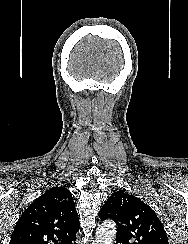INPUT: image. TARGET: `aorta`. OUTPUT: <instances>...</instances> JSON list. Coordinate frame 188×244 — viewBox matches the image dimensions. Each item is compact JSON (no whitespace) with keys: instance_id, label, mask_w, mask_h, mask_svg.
Instances as JSON below:
<instances>
[{"instance_id":"aorta-1","label":"aorta","mask_w":188,"mask_h":244,"mask_svg":"<svg viewBox=\"0 0 188 244\" xmlns=\"http://www.w3.org/2000/svg\"><path fill=\"white\" fill-rule=\"evenodd\" d=\"M116 234V225L112 221H104L96 230L97 244H112Z\"/></svg>"}]
</instances>
